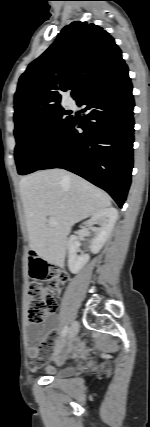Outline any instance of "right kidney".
<instances>
[{
  "label": "right kidney",
  "instance_id": "obj_1",
  "mask_svg": "<svg viewBox=\"0 0 150 427\" xmlns=\"http://www.w3.org/2000/svg\"><path fill=\"white\" fill-rule=\"evenodd\" d=\"M118 218V212L115 208H106L94 215L91 216L90 220L84 224L93 225L95 223L99 224V228H95V236L91 240L90 249L93 254L98 253L105 242L107 241L115 223ZM80 243L78 237L73 235L69 238L68 241V267L69 270L76 274L78 273L89 261V255L80 254L79 249Z\"/></svg>",
  "mask_w": 150,
  "mask_h": 427
}]
</instances>
